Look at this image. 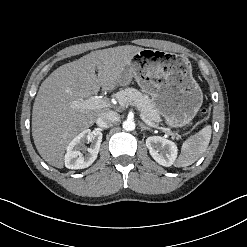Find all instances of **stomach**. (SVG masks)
I'll list each match as a JSON object with an SVG mask.
<instances>
[{
	"mask_svg": "<svg viewBox=\"0 0 247 247\" xmlns=\"http://www.w3.org/2000/svg\"><path fill=\"white\" fill-rule=\"evenodd\" d=\"M133 78L151 96L156 111L170 128L189 125L202 105V91L184 57L143 49L123 68L119 85L127 86Z\"/></svg>",
	"mask_w": 247,
	"mask_h": 247,
	"instance_id": "1",
	"label": "stomach"
}]
</instances>
